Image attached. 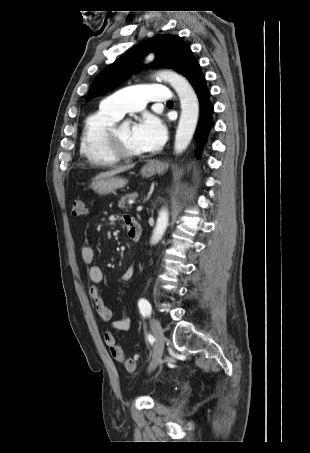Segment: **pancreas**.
Here are the masks:
<instances>
[{
    "mask_svg": "<svg viewBox=\"0 0 310 453\" xmlns=\"http://www.w3.org/2000/svg\"><path fill=\"white\" fill-rule=\"evenodd\" d=\"M138 197L137 193H131L127 194L126 196H123L120 201L118 202V207L123 210H128L131 206L128 205L129 200H135Z\"/></svg>",
    "mask_w": 310,
    "mask_h": 453,
    "instance_id": "pancreas-1",
    "label": "pancreas"
}]
</instances>
